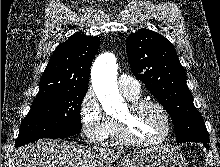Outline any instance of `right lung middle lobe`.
Returning a JSON list of instances; mask_svg holds the SVG:
<instances>
[{"label":"right lung middle lobe","instance_id":"1","mask_svg":"<svg viewBox=\"0 0 220 167\" xmlns=\"http://www.w3.org/2000/svg\"><path fill=\"white\" fill-rule=\"evenodd\" d=\"M87 89H64L34 100L21 124L15 147L40 138L55 139L80 133V109Z\"/></svg>","mask_w":220,"mask_h":167}]
</instances>
